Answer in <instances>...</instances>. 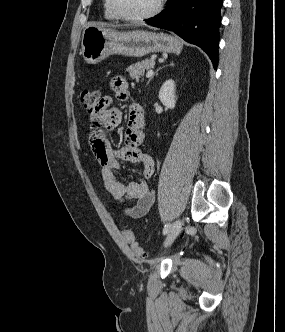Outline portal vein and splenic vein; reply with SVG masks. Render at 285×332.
Returning a JSON list of instances; mask_svg holds the SVG:
<instances>
[{
	"mask_svg": "<svg viewBox=\"0 0 285 332\" xmlns=\"http://www.w3.org/2000/svg\"><path fill=\"white\" fill-rule=\"evenodd\" d=\"M153 74H154L153 70H149V71L146 73V77H147V78H150Z\"/></svg>",
	"mask_w": 285,
	"mask_h": 332,
	"instance_id": "1",
	"label": "portal vein and splenic vein"
}]
</instances>
